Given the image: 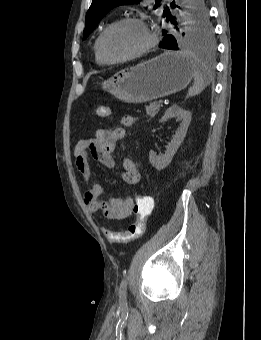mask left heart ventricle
I'll return each mask as SVG.
<instances>
[{
  "label": "left heart ventricle",
  "instance_id": "b2bd125f",
  "mask_svg": "<svg viewBox=\"0 0 261 340\" xmlns=\"http://www.w3.org/2000/svg\"><path fill=\"white\" fill-rule=\"evenodd\" d=\"M148 42L143 27L125 23L112 29L104 39V50L112 57H122L137 52Z\"/></svg>",
  "mask_w": 261,
  "mask_h": 340
}]
</instances>
